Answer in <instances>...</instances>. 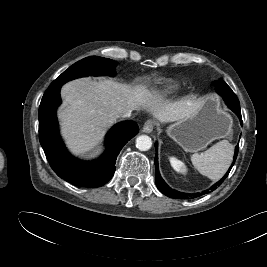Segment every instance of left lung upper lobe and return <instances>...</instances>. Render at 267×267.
<instances>
[{"label":"left lung upper lobe","mask_w":267,"mask_h":267,"mask_svg":"<svg viewBox=\"0 0 267 267\" xmlns=\"http://www.w3.org/2000/svg\"><path fill=\"white\" fill-rule=\"evenodd\" d=\"M216 90L221 95L222 92L229 90L230 87L221 79L220 81L215 82Z\"/></svg>","instance_id":"obj_1"}]
</instances>
